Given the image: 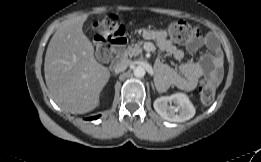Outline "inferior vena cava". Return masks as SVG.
<instances>
[{"label": "inferior vena cava", "instance_id": "602c4592", "mask_svg": "<svg viewBox=\"0 0 261 162\" xmlns=\"http://www.w3.org/2000/svg\"><path fill=\"white\" fill-rule=\"evenodd\" d=\"M130 65L129 59H121L113 67L115 73L123 72Z\"/></svg>", "mask_w": 261, "mask_h": 162}]
</instances>
